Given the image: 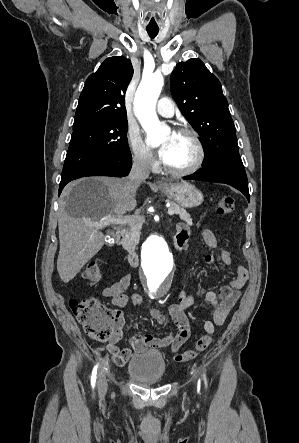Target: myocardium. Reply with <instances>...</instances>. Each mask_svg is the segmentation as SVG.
I'll use <instances>...</instances> for the list:
<instances>
[{
	"mask_svg": "<svg viewBox=\"0 0 299 443\" xmlns=\"http://www.w3.org/2000/svg\"><path fill=\"white\" fill-rule=\"evenodd\" d=\"M177 133L185 134L191 137L195 146L196 156L193 162L189 166L184 168H172L166 165L163 161L161 162V165L164 171L168 174H171L173 176H186L200 169L205 159V150L199 134L194 129L189 127H182L177 131Z\"/></svg>",
	"mask_w": 299,
	"mask_h": 443,
	"instance_id": "1",
	"label": "myocardium"
}]
</instances>
